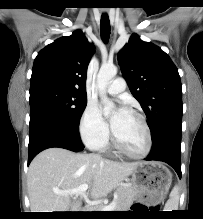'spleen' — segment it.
<instances>
[{
	"label": "spleen",
	"mask_w": 203,
	"mask_h": 219,
	"mask_svg": "<svg viewBox=\"0 0 203 219\" xmlns=\"http://www.w3.org/2000/svg\"><path fill=\"white\" fill-rule=\"evenodd\" d=\"M178 202H179V188L178 186H174L173 190L170 193L169 200L165 204V211L178 210Z\"/></svg>",
	"instance_id": "spleen-1"
}]
</instances>
